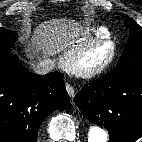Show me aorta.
I'll return each mask as SVG.
<instances>
[{"instance_id": "obj_1", "label": "aorta", "mask_w": 142, "mask_h": 142, "mask_svg": "<svg viewBox=\"0 0 142 142\" xmlns=\"http://www.w3.org/2000/svg\"><path fill=\"white\" fill-rule=\"evenodd\" d=\"M107 132L99 126H91L88 133V142H106Z\"/></svg>"}]
</instances>
